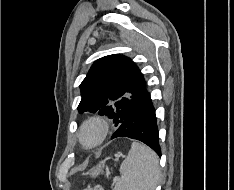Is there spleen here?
<instances>
[{"mask_svg": "<svg viewBox=\"0 0 234 190\" xmlns=\"http://www.w3.org/2000/svg\"><path fill=\"white\" fill-rule=\"evenodd\" d=\"M120 173L113 190H155L160 176L158 156L146 145L134 141Z\"/></svg>", "mask_w": 234, "mask_h": 190, "instance_id": "spleen-1", "label": "spleen"}]
</instances>
